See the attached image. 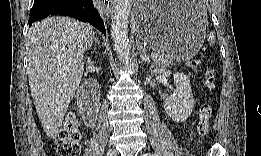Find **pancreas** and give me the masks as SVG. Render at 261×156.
Wrapping results in <instances>:
<instances>
[{
    "instance_id": "1",
    "label": "pancreas",
    "mask_w": 261,
    "mask_h": 156,
    "mask_svg": "<svg viewBox=\"0 0 261 156\" xmlns=\"http://www.w3.org/2000/svg\"><path fill=\"white\" fill-rule=\"evenodd\" d=\"M158 57L154 60L157 66L159 67H169L173 64L175 58L169 53L163 51H157Z\"/></svg>"
}]
</instances>
